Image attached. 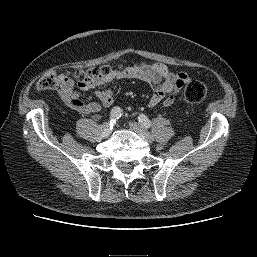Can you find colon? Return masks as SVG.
<instances>
[{
    "instance_id": "5ec220e1",
    "label": "colon",
    "mask_w": 257,
    "mask_h": 257,
    "mask_svg": "<svg viewBox=\"0 0 257 257\" xmlns=\"http://www.w3.org/2000/svg\"><path fill=\"white\" fill-rule=\"evenodd\" d=\"M111 72L109 66L91 67L76 70L74 77L82 84H93ZM58 85V78L54 72L44 74L38 82V87L42 90L54 89ZM209 93L206 84L200 81H189L184 89V97L189 103H199L203 101Z\"/></svg>"
}]
</instances>
